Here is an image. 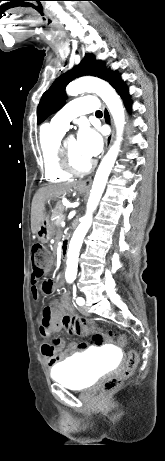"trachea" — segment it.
<instances>
[{"label":"trachea","instance_id":"trachea-1","mask_svg":"<svg viewBox=\"0 0 165 461\" xmlns=\"http://www.w3.org/2000/svg\"><path fill=\"white\" fill-rule=\"evenodd\" d=\"M95 114L96 115H102V112L100 110H98Z\"/></svg>","mask_w":165,"mask_h":461}]
</instances>
